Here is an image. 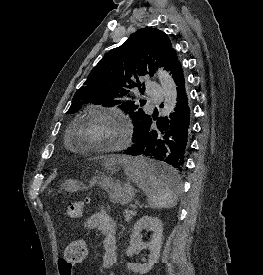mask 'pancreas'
I'll use <instances>...</instances> for the list:
<instances>
[{
  "label": "pancreas",
  "mask_w": 263,
  "mask_h": 275,
  "mask_svg": "<svg viewBox=\"0 0 263 275\" xmlns=\"http://www.w3.org/2000/svg\"><path fill=\"white\" fill-rule=\"evenodd\" d=\"M137 213L136 211H132V210H125V220L126 221H130L132 219L133 216H135Z\"/></svg>",
  "instance_id": "1"
}]
</instances>
